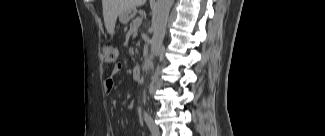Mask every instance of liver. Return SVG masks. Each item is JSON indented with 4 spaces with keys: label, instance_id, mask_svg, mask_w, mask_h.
<instances>
[{
    "label": "liver",
    "instance_id": "1",
    "mask_svg": "<svg viewBox=\"0 0 325 136\" xmlns=\"http://www.w3.org/2000/svg\"><path fill=\"white\" fill-rule=\"evenodd\" d=\"M146 0H102L103 17L107 32L114 33L118 15L145 4Z\"/></svg>",
    "mask_w": 325,
    "mask_h": 136
}]
</instances>
